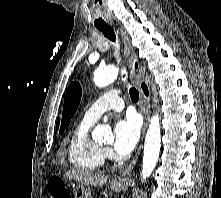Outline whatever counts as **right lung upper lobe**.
Instances as JSON below:
<instances>
[{"label":"right lung upper lobe","instance_id":"obj_1","mask_svg":"<svg viewBox=\"0 0 221 198\" xmlns=\"http://www.w3.org/2000/svg\"><path fill=\"white\" fill-rule=\"evenodd\" d=\"M135 66L137 67V64H136ZM58 127H59V119H58V121H57L56 129H58Z\"/></svg>","mask_w":221,"mask_h":198}]
</instances>
